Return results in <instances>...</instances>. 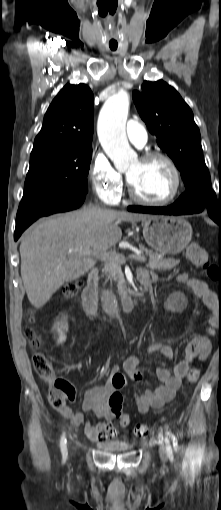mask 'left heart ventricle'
Segmentation results:
<instances>
[{
  "label": "left heart ventricle",
  "mask_w": 221,
  "mask_h": 510,
  "mask_svg": "<svg viewBox=\"0 0 221 510\" xmlns=\"http://www.w3.org/2000/svg\"><path fill=\"white\" fill-rule=\"evenodd\" d=\"M126 174L138 195L146 199H164L171 194L174 187L171 169L159 159L148 162L138 159Z\"/></svg>",
  "instance_id": "b2bd125f"
}]
</instances>
